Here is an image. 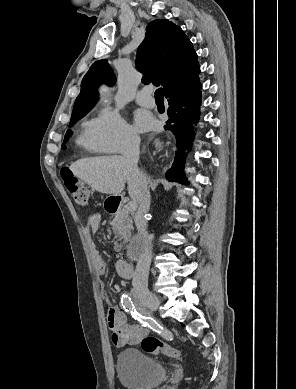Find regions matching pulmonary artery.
Wrapping results in <instances>:
<instances>
[{"instance_id":"e3ab8cb5","label":"pulmonary artery","mask_w":296,"mask_h":389,"mask_svg":"<svg viewBox=\"0 0 296 389\" xmlns=\"http://www.w3.org/2000/svg\"><path fill=\"white\" fill-rule=\"evenodd\" d=\"M136 101L138 104L145 106V107H153L154 106V99L151 95V89L150 88H143L136 94Z\"/></svg>"}]
</instances>
